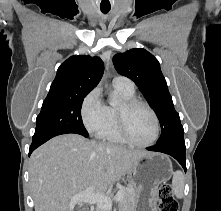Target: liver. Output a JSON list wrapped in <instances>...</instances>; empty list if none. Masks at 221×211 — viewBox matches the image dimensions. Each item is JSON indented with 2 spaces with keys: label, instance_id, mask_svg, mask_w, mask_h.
<instances>
[{
  "label": "liver",
  "instance_id": "obj_1",
  "mask_svg": "<svg viewBox=\"0 0 221 211\" xmlns=\"http://www.w3.org/2000/svg\"><path fill=\"white\" fill-rule=\"evenodd\" d=\"M144 151L129 150L77 134L57 136L31 155L30 188L35 211H74L70 199L88 188L104 194Z\"/></svg>",
  "mask_w": 221,
  "mask_h": 211
}]
</instances>
